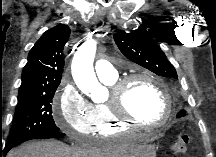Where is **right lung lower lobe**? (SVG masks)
<instances>
[{"label": "right lung lower lobe", "mask_w": 216, "mask_h": 157, "mask_svg": "<svg viewBox=\"0 0 216 157\" xmlns=\"http://www.w3.org/2000/svg\"><path fill=\"white\" fill-rule=\"evenodd\" d=\"M64 136L63 133L61 132H55V133H50V134H45V135H40L37 136L33 139H47V138H56V137H62ZM13 146H5L4 150H3V154L6 155L7 152L12 148ZM1 157H2V150H1Z\"/></svg>", "instance_id": "1"}]
</instances>
